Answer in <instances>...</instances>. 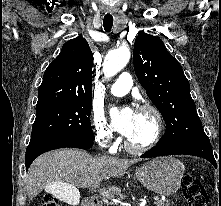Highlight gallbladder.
Instances as JSON below:
<instances>
[{"instance_id": "1", "label": "gallbladder", "mask_w": 221, "mask_h": 206, "mask_svg": "<svg viewBox=\"0 0 221 206\" xmlns=\"http://www.w3.org/2000/svg\"><path fill=\"white\" fill-rule=\"evenodd\" d=\"M56 185H49L48 194L52 198H58V202H66V205L79 206V198L82 197L74 185H65V181H56Z\"/></svg>"}]
</instances>
